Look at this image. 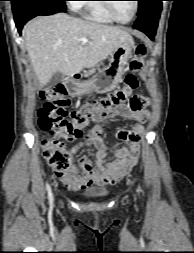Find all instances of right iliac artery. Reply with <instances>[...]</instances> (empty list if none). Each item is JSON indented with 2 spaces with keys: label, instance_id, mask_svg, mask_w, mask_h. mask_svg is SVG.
Here are the masks:
<instances>
[{
  "label": "right iliac artery",
  "instance_id": "82829eb1",
  "mask_svg": "<svg viewBox=\"0 0 194 253\" xmlns=\"http://www.w3.org/2000/svg\"><path fill=\"white\" fill-rule=\"evenodd\" d=\"M46 190L48 192V199H49L50 206H52V204H53V194H52V190H51V187H50L49 184H46Z\"/></svg>",
  "mask_w": 194,
  "mask_h": 253
}]
</instances>
